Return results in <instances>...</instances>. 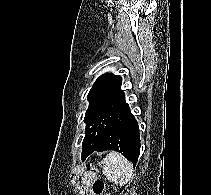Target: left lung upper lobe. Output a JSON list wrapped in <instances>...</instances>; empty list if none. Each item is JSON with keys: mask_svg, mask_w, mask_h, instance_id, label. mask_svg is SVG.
<instances>
[{"mask_svg": "<svg viewBox=\"0 0 211 195\" xmlns=\"http://www.w3.org/2000/svg\"><path fill=\"white\" fill-rule=\"evenodd\" d=\"M121 82L119 75L106 73L92 86L88 94L89 107L84 118L87 125L82 156L97 144L106 125L128 106L123 90L120 89Z\"/></svg>", "mask_w": 211, "mask_h": 195, "instance_id": "5c2ea615", "label": "left lung upper lobe"}]
</instances>
